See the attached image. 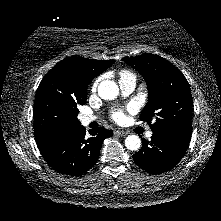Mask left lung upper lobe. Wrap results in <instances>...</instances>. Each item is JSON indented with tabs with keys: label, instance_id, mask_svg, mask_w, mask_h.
<instances>
[{
	"label": "left lung upper lobe",
	"instance_id": "obj_1",
	"mask_svg": "<svg viewBox=\"0 0 221 221\" xmlns=\"http://www.w3.org/2000/svg\"><path fill=\"white\" fill-rule=\"evenodd\" d=\"M145 78L149 100L140 119L153 133L190 141L192 134V97L181 71L158 55L123 58ZM153 121V123H151Z\"/></svg>",
	"mask_w": 221,
	"mask_h": 221
}]
</instances>
